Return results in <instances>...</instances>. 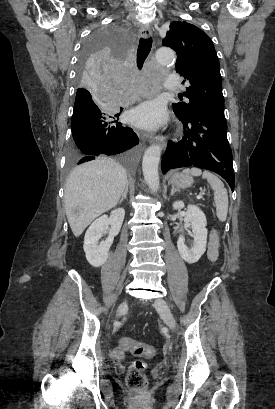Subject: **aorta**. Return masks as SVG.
<instances>
[{
    "label": "aorta",
    "mask_w": 275,
    "mask_h": 409,
    "mask_svg": "<svg viewBox=\"0 0 275 409\" xmlns=\"http://www.w3.org/2000/svg\"><path fill=\"white\" fill-rule=\"evenodd\" d=\"M153 57L158 62H161V64H170V62L175 60V52L171 48H159V50L154 52ZM161 150L162 148L159 144H151V146L146 148L142 160L144 178L152 190L159 188L158 164Z\"/></svg>",
    "instance_id": "762f6f07"
}]
</instances>
